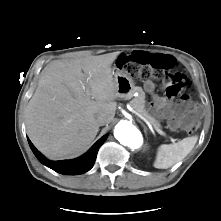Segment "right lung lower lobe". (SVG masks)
Instances as JSON below:
<instances>
[{"label":"right lung lower lobe","mask_w":221,"mask_h":221,"mask_svg":"<svg viewBox=\"0 0 221 221\" xmlns=\"http://www.w3.org/2000/svg\"><path fill=\"white\" fill-rule=\"evenodd\" d=\"M106 138L107 135H104L83 156L73 160H63V161H49L40 152H38V150L34 147V145L31 143L29 139L28 142L34 155L42 164L48 166L49 168L60 174L78 175L87 172L93 167L94 162L96 160L98 149L104 143Z\"/></svg>","instance_id":"98d812e1"}]
</instances>
